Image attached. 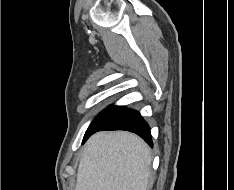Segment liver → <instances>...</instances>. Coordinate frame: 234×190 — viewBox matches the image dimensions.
<instances>
[{"mask_svg":"<svg viewBox=\"0 0 234 190\" xmlns=\"http://www.w3.org/2000/svg\"><path fill=\"white\" fill-rule=\"evenodd\" d=\"M148 145L127 131L98 132L85 144L75 190H146Z\"/></svg>","mask_w":234,"mask_h":190,"instance_id":"1","label":"liver"}]
</instances>
